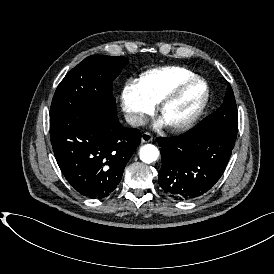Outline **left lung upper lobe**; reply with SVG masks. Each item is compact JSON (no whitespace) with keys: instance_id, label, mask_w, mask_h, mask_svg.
<instances>
[{"instance_id":"1","label":"left lung upper lobe","mask_w":274,"mask_h":274,"mask_svg":"<svg viewBox=\"0 0 274 274\" xmlns=\"http://www.w3.org/2000/svg\"><path fill=\"white\" fill-rule=\"evenodd\" d=\"M197 127L218 130L233 137L237 136V106L230 84H228L225 98L220 108H218L213 114L209 115Z\"/></svg>"}]
</instances>
